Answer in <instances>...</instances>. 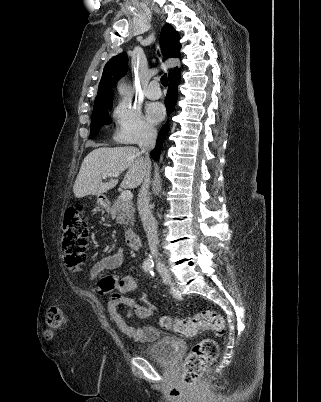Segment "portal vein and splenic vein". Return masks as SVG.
Returning <instances> with one entry per match:
<instances>
[{"instance_id": "1", "label": "portal vein and splenic vein", "mask_w": 321, "mask_h": 402, "mask_svg": "<svg viewBox=\"0 0 321 402\" xmlns=\"http://www.w3.org/2000/svg\"><path fill=\"white\" fill-rule=\"evenodd\" d=\"M119 173L114 172V173H104L102 175L103 179H106L107 177H118ZM133 197V194L130 190H125L121 193V198L125 201L131 200Z\"/></svg>"}]
</instances>
